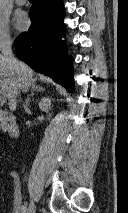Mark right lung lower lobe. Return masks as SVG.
I'll return each instance as SVG.
<instances>
[{
    "instance_id": "right-lung-lower-lobe-1",
    "label": "right lung lower lobe",
    "mask_w": 128,
    "mask_h": 213,
    "mask_svg": "<svg viewBox=\"0 0 128 213\" xmlns=\"http://www.w3.org/2000/svg\"><path fill=\"white\" fill-rule=\"evenodd\" d=\"M62 0H35L30 9L31 26L15 40L16 54L35 71L44 72L74 92L72 59L61 40L66 33Z\"/></svg>"
}]
</instances>
